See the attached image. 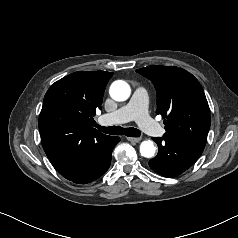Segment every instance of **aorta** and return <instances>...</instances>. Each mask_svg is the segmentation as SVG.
Returning a JSON list of instances; mask_svg holds the SVG:
<instances>
[{"instance_id":"obj_1","label":"aorta","mask_w":238,"mask_h":238,"mask_svg":"<svg viewBox=\"0 0 238 238\" xmlns=\"http://www.w3.org/2000/svg\"><path fill=\"white\" fill-rule=\"evenodd\" d=\"M109 93L115 101H125L129 98L131 89L125 81L117 80L111 84ZM155 152L156 146L153 141L146 140L140 144V153L143 157L152 158L155 155Z\"/></svg>"}]
</instances>
